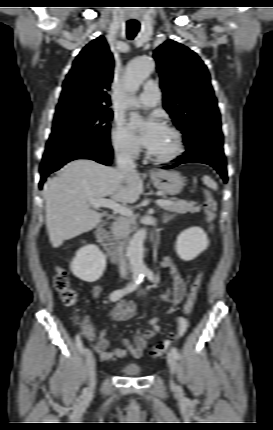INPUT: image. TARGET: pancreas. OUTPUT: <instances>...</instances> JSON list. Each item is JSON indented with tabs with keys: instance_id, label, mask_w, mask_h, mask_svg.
<instances>
[{
	"instance_id": "pancreas-1",
	"label": "pancreas",
	"mask_w": 273,
	"mask_h": 430,
	"mask_svg": "<svg viewBox=\"0 0 273 430\" xmlns=\"http://www.w3.org/2000/svg\"><path fill=\"white\" fill-rule=\"evenodd\" d=\"M171 201V205L163 206L165 210L176 212V213H197L200 212L201 206H196V202H187L185 200H168ZM136 224L135 216H120L116 218L114 222V232L113 234L116 237H121L125 234H128L132 228Z\"/></svg>"
}]
</instances>
